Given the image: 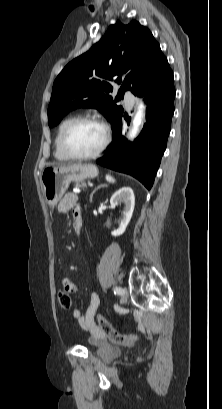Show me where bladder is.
<instances>
[{
    "instance_id": "1",
    "label": "bladder",
    "mask_w": 222,
    "mask_h": 409,
    "mask_svg": "<svg viewBox=\"0 0 222 409\" xmlns=\"http://www.w3.org/2000/svg\"><path fill=\"white\" fill-rule=\"evenodd\" d=\"M123 349L111 344H101L96 348V354L103 359H111L121 355Z\"/></svg>"
}]
</instances>
